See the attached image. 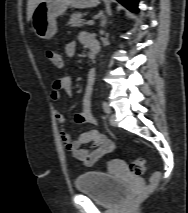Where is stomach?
<instances>
[{"mask_svg": "<svg viewBox=\"0 0 188 213\" xmlns=\"http://www.w3.org/2000/svg\"><path fill=\"white\" fill-rule=\"evenodd\" d=\"M99 4V0H41L32 14V27L42 39H49L57 32L56 19L69 7L87 8Z\"/></svg>", "mask_w": 188, "mask_h": 213, "instance_id": "stomach-1", "label": "stomach"}]
</instances>
